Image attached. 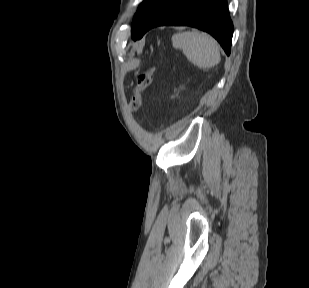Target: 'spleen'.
<instances>
[{
  "label": "spleen",
  "instance_id": "obj_1",
  "mask_svg": "<svg viewBox=\"0 0 309 288\" xmlns=\"http://www.w3.org/2000/svg\"><path fill=\"white\" fill-rule=\"evenodd\" d=\"M173 46L181 49L186 58L199 68H211L220 62L219 45L206 33L186 31L172 37Z\"/></svg>",
  "mask_w": 309,
  "mask_h": 288
}]
</instances>
